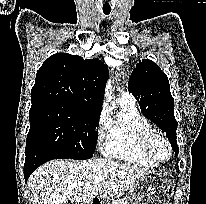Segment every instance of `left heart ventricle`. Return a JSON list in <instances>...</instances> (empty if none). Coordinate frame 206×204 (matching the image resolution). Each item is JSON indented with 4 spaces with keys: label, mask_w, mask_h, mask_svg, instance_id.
Segmentation results:
<instances>
[{
    "label": "left heart ventricle",
    "mask_w": 206,
    "mask_h": 204,
    "mask_svg": "<svg viewBox=\"0 0 206 204\" xmlns=\"http://www.w3.org/2000/svg\"><path fill=\"white\" fill-rule=\"evenodd\" d=\"M150 150L158 160H165L168 156L166 143L159 137H154L150 142Z\"/></svg>",
    "instance_id": "left-heart-ventricle-1"
}]
</instances>
